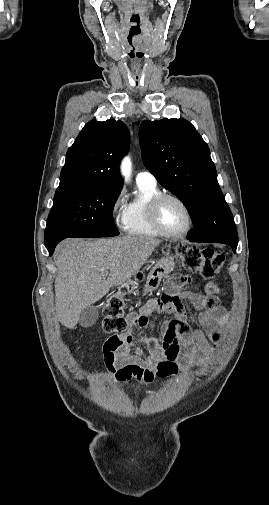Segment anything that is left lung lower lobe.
<instances>
[{
    "label": "left lung lower lobe",
    "mask_w": 269,
    "mask_h": 505,
    "mask_svg": "<svg viewBox=\"0 0 269 505\" xmlns=\"http://www.w3.org/2000/svg\"><path fill=\"white\" fill-rule=\"evenodd\" d=\"M191 241V240H190ZM193 242H196V241H193ZM229 246H231V248L233 249V252L235 253L236 252V248H237V245H234V244H228Z\"/></svg>",
    "instance_id": "left-lung-lower-lobe-1"
}]
</instances>
